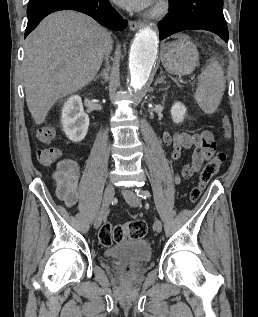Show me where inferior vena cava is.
I'll return each mask as SVG.
<instances>
[{"label":"inferior vena cava","instance_id":"1","mask_svg":"<svg viewBox=\"0 0 258 317\" xmlns=\"http://www.w3.org/2000/svg\"><path fill=\"white\" fill-rule=\"evenodd\" d=\"M111 42H112V40H111ZM111 42H110V44H109V46H108V48H107L106 56H108V54H109V52H110V50H111V48H112Z\"/></svg>","mask_w":258,"mask_h":317}]
</instances>
